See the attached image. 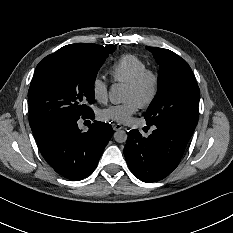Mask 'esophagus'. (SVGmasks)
Returning a JSON list of instances; mask_svg holds the SVG:
<instances>
[{"instance_id":"esophagus-1","label":"esophagus","mask_w":233,"mask_h":233,"mask_svg":"<svg viewBox=\"0 0 233 233\" xmlns=\"http://www.w3.org/2000/svg\"><path fill=\"white\" fill-rule=\"evenodd\" d=\"M112 127H113L114 131H118V130H121L123 128V126L119 123H113Z\"/></svg>"}]
</instances>
